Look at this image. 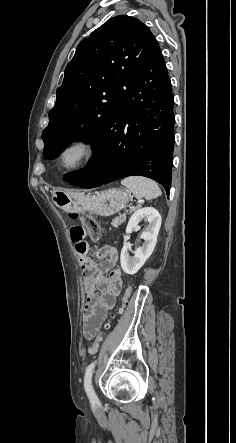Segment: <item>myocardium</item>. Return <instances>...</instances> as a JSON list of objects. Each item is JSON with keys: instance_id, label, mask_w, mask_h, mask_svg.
Listing matches in <instances>:
<instances>
[{"instance_id": "f54148a6", "label": "myocardium", "mask_w": 236, "mask_h": 443, "mask_svg": "<svg viewBox=\"0 0 236 443\" xmlns=\"http://www.w3.org/2000/svg\"><path fill=\"white\" fill-rule=\"evenodd\" d=\"M74 150L79 152L78 159L72 163H67V154ZM96 154L97 145L94 140L86 136L76 137L62 146L58 155V163L65 171H76L90 164Z\"/></svg>"}]
</instances>
